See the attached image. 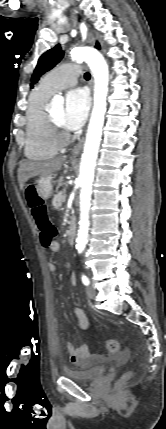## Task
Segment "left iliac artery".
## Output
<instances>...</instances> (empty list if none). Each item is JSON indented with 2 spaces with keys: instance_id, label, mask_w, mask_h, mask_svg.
Listing matches in <instances>:
<instances>
[{
  "instance_id": "obj_1",
  "label": "left iliac artery",
  "mask_w": 166,
  "mask_h": 429,
  "mask_svg": "<svg viewBox=\"0 0 166 429\" xmlns=\"http://www.w3.org/2000/svg\"><path fill=\"white\" fill-rule=\"evenodd\" d=\"M81 279L85 286H88L90 284L89 278L86 275L83 274Z\"/></svg>"
}]
</instances>
